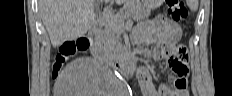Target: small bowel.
Returning <instances> with one entry per match:
<instances>
[{
  "label": "small bowel",
  "instance_id": "obj_1",
  "mask_svg": "<svg viewBox=\"0 0 232 96\" xmlns=\"http://www.w3.org/2000/svg\"><path fill=\"white\" fill-rule=\"evenodd\" d=\"M154 20H142L134 30H128V35H132L133 41L137 45L144 43H161V39H167V35H175L179 25L170 22L165 15V11H156ZM155 57H165L162 51H155ZM174 71V69L172 68ZM175 88L172 92L166 85L161 86L157 91L153 88L149 74L145 69L139 72V83L145 96H186L187 80L186 74H176Z\"/></svg>",
  "mask_w": 232,
  "mask_h": 96
}]
</instances>
